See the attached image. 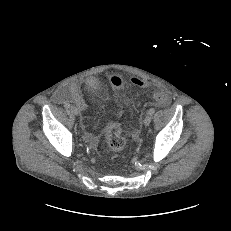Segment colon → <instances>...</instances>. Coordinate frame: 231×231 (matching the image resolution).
Here are the masks:
<instances>
[{"instance_id":"5ec220e1","label":"colon","mask_w":231,"mask_h":231,"mask_svg":"<svg viewBox=\"0 0 231 231\" xmlns=\"http://www.w3.org/2000/svg\"><path fill=\"white\" fill-rule=\"evenodd\" d=\"M132 83L136 86H144L145 82L139 78H132ZM123 76L120 74H113L110 77V83L115 89H120L123 86ZM154 99L161 105H164L168 97L164 92H156L154 94ZM106 137L109 149L113 153H120L124 150L126 145V139L122 134L121 126L115 121H109L106 125Z\"/></svg>"}]
</instances>
